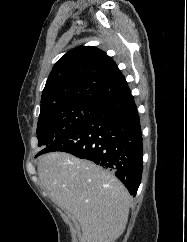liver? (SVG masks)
Here are the masks:
<instances>
[{
  "label": "liver",
  "instance_id": "1",
  "mask_svg": "<svg viewBox=\"0 0 187 242\" xmlns=\"http://www.w3.org/2000/svg\"><path fill=\"white\" fill-rule=\"evenodd\" d=\"M38 176L53 201L80 223L81 242H114L124 232L130 195L109 171L56 152L39 158Z\"/></svg>",
  "mask_w": 187,
  "mask_h": 242
}]
</instances>
